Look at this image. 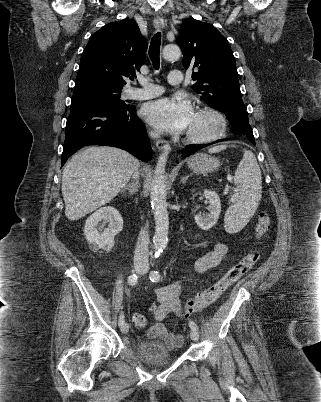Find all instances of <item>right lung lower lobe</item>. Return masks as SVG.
<instances>
[{
	"mask_svg": "<svg viewBox=\"0 0 321 402\" xmlns=\"http://www.w3.org/2000/svg\"><path fill=\"white\" fill-rule=\"evenodd\" d=\"M136 107L112 109L94 104L71 106L66 123L61 166L86 145H106L124 149L142 161H149L152 148Z\"/></svg>",
	"mask_w": 321,
	"mask_h": 402,
	"instance_id": "right-lung-lower-lobe-1",
	"label": "right lung lower lobe"
}]
</instances>
